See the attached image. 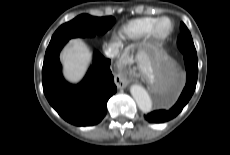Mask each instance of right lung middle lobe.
<instances>
[{"label":"right lung middle lobe","mask_w":230,"mask_h":155,"mask_svg":"<svg viewBox=\"0 0 230 155\" xmlns=\"http://www.w3.org/2000/svg\"><path fill=\"white\" fill-rule=\"evenodd\" d=\"M115 23L112 16L93 17L81 14L73 20L61 25L53 34L48 47L66 43L74 37H93L96 34H104Z\"/></svg>","instance_id":"right-lung-middle-lobe-1"}]
</instances>
